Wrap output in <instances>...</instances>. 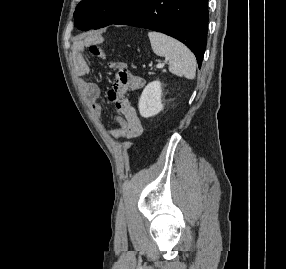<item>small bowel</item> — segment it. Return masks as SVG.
I'll use <instances>...</instances> for the list:
<instances>
[{
    "label": "small bowel",
    "mask_w": 286,
    "mask_h": 269,
    "mask_svg": "<svg viewBox=\"0 0 286 269\" xmlns=\"http://www.w3.org/2000/svg\"><path fill=\"white\" fill-rule=\"evenodd\" d=\"M84 43L76 42L72 53V60L75 67V72L78 77H84L90 72V67L84 57ZM90 53L100 60H107V55L102 49H96L92 45L89 47ZM117 62L109 63V67L115 70ZM135 78H141L135 76ZM144 83H142V86ZM82 88L86 94L87 104L93 114L98 119L100 117L102 102L100 101V89L94 82L84 80L82 81ZM124 93V92H123ZM123 93L115 88V84L108 91V99L113 101L116 105L118 115L116 121L118 128L110 131V136L117 138H136L143 132V126L139 119L136 110H127V105H131V101L123 98Z\"/></svg>",
    "instance_id": "1"
}]
</instances>
